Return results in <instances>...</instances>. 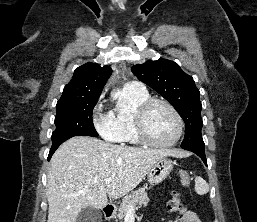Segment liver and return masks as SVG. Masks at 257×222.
<instances>
[{
    "label": "liver",
    "instance_id": "6515ba94",
    "mask_svg": "<svg viewBox=\"0 0 257 222\" xmlns=\"http://www.w3.org/2000/svg\"><path fill=\"white\" fill-rule=\"evenodd\" d=\"M185 155L176 150L140 149L87 136L73 137L59 146L50 161L47 222H76L86 206L103 209L107 195L117 199L132 191L158 159ZM109 177L112 181L106 184Z\"/></svg>",
    "mask_w": 257,
    "mask_h": 222
}]
</instances>
